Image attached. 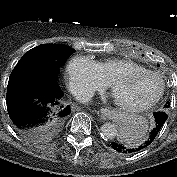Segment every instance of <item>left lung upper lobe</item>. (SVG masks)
Wrapping results in <instances>:
<instances>
[{
	"instance_id": "obj_1",
	"label": "left lung upper lobe",
	"mask_w": 177,
	"mask_h": 177,
	"mask_svg": "<svg viewBox=\"0 0 177 177\" xmlns=\"http://www.w3.org/2000/svg\"><path fill=\"white\" fill-rule=\"evenodd\" d=\"M169 106H170V105L168 104V105L166 106V108H169ZM164 111L166 112L167 110L165 109Z\"/></svg>"
}]
</instances>
